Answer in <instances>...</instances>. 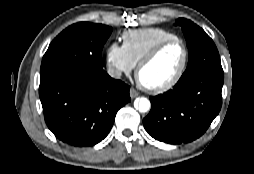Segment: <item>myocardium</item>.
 <instances>
[{
  "label": "myocardium",
  "mask_w": 254,
  "mask_h": 174,
  "mask_svg": "<svg viewBox=\"0 0 254 174\" xmlns=\"http://www.w3.org/2000/svg\"><path fill=\"white\" fill-rule=\"evenodd\" d=\"M172 43H180L182 45L183 51H184L183 60H182L181 66H180L179 70L177 71V73L169 81H167L164 84L158 85V86H149V85H146V84L142 83L139 79L140 71L145 66H147L149 63H151L166 46H168ZM188 60H189V49H188V46H187V44L185 43V41L183 39H181L179 37H175V38H172V39L164 40V41L158 43L157 45H155L138 62L137 67H136V72H135L137 81H138L139 85L143 89H145L146 91H149V92L154 93V94L164 93V92L170 90L171 88H173L181 80V78L183 77V75L186 71V68H187V65H188Z\"/></svg>",
  "instance_id": "myocardium-1"
}]
</instances>
